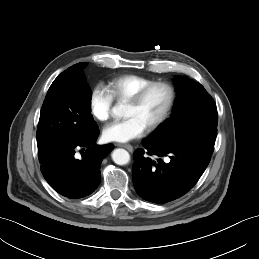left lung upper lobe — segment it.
<instances>
[{
  "mask_svg": "<svg viewBox=\"0 0 259 259\" xmlns=\"http://www.w3.org/2000/svg\"><path fill=\"white\" fill-rule=\"evenodd\" d=\"M174 82L177 99L172 116L148 139L171 146L195 135L216 138L218 116L212 97L201 84L185 76H177Z\"/></svg>",
  "mask_w": 259,
  "mask_h": 259,
  "instance_id": "1",
  "label": "left lung upper lobe"
}]
</instances>
